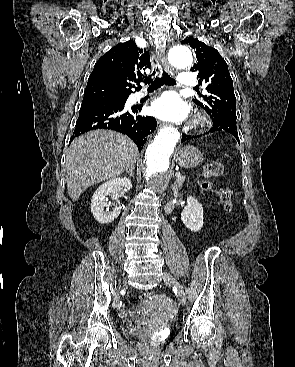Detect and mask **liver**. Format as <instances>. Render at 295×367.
I'll list each match as a JSON object with an SVG mask.
<instances>
[{
    "label": "liver",
    "mask_w": 295,
    "mask_h": 367,
    "mask_svg": "<svg viewBox=\"0 0 295 367\" xmlns=\"http://www.w3.org/2000/svg\"><path fill=\"white\" fill-rule=\"evenodd\" d=\"M138 156L134 142L123 134L93 130L76 138L66 154L65 179L73 201L90 186L121 175Z\"/></svg>",
    "instance_id": "1"
}]
</instances>
